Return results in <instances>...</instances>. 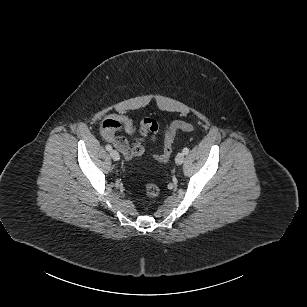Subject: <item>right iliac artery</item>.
I'll use <instances>...</instances> for the list:
<instances>
[{"label": "right iliac artery", "mask_w": 307, "mask_h": 307, "mask_svg": "<svg viewBox=\"0 0 307 307\" xmlns=\"http://www.w3.org/2000/svg\"><path fill=\"white\" fill-rule=\"evenodd\" d=\"M106 150H107V151H111V150H112V146L109 145V144H107V145H106Z\"/></svg>", "instance_id": "obj_1"}]
</instances>
